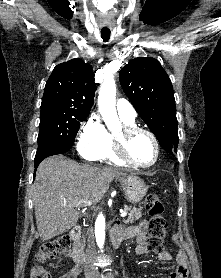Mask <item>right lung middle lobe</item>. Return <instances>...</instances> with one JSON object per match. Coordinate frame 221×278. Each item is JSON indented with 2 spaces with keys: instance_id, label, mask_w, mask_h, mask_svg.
Instances as JSON below:
<instances>
[{
  "instance_id": "dd1d6c3e",
  "label": "right lung middle lobe",
  "mask_w": 221,
  "mask_h": 278,
  "mask_svg": "<svg viewBox=\"0 0 221 278\" xmlns=\"http://www.w3.org/2000/svg\"><path fill=\"white\" fill-rule=\"evenodd\" d=\"M87 116L88 114L72 115L62 111H41L37 153L54 146L73 144L79 126Z\"/></svg>"
}]
</instances>
